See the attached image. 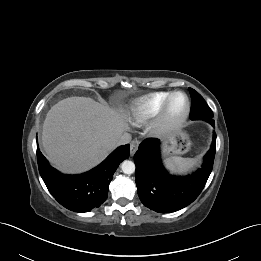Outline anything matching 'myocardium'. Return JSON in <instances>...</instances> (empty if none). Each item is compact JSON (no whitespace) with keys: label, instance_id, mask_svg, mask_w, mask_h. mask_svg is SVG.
I'll return each instance as SVG.
<instances>
[{"label":"myocardium","instance_id":"f54148a6","mask_svg":"<svg viewBox=\"0 0 261 261\" xmlns=\"http://www.w3.org/2000/svg\"><path fill=\"white\" fill-rule=\"evenodd\" d=\"M181 95L186 100V107L183 114L178 118H172L170 116V107L172 100ZM191 103L189 97L186 93L181 91H176L170 94L165 104L163 105L161 111L159 112L157 118L152 123L151 132L154 135H167L183 126L190 114Z\"/></svg>","mask_w":261,"mask_h":261}]
</instances>
